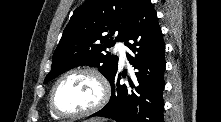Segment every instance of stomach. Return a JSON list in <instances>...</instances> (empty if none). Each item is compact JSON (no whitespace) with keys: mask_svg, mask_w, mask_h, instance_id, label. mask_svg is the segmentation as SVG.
Masks as SVG:
<instances>
[{"mask_svg":"<svg viewBox=\"0 0 221 122\" xmlns=\"http://www.w3.org/2000/svg\"><path fill=\"white\" fill-rule=\"evenodd\" d=\"M84 122H107V119H102V118H92V119H88Z\"/></svg>","mask_w":221,"mask_h":122,"instance_id":"1","label":"stomach"}]
</instances>
